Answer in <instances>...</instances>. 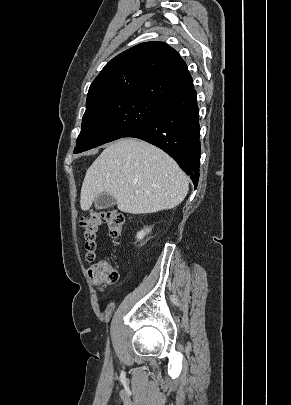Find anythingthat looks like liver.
Here are the masks:
<instances>
[{"instance_id": "6515ba94", "label": "liver", "mask_w": 291, "mask_h": 405, "mask_svg": "<svg viewBox=\"0 0 291 405\" xmlns=\"http://www.w3.org/2000/svg\"><path fill=\"white\" fill-rule=\"evenodd\" d=\"M188 179L161 149L135 138L108 145L88 168L80 194L81 209L89 210L95 197L106 193L125 213L168 210L188 193Z\"/></svg>"}]
</instances>
